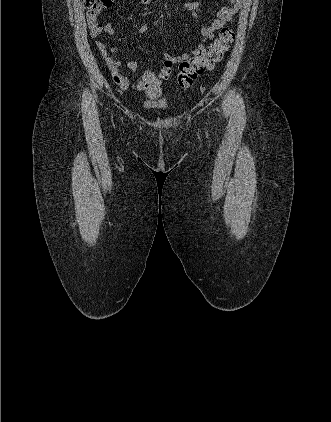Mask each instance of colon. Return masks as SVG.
Returning <instances> with one entry per match:
<instances>
[{
  "instance_id": "1",
  "label": "colon",
  "mask_w": 331,
  "mask_h": 422,
  "mask_svg": "<svg viewBox=\"0 0 331 422\" xmlns=\"http://www.w3.org/2000/svg\"><path fill=\"white\" fill-rule=\"evenodd\" d=\"M114 0H84L89 21L97 19L102 10L109 9ZM235 38L231 27H223L218 37L209 45L204 52L195 58L183 61L179 65L177 86L180 90H186L192 86L196 78L207 70H212L216 64L221 62L229 50ZM143 83V91L150 98L159 96L161 88L158 77L151 71H145L140 78Z\"/></svg>"
}]
</instances>
